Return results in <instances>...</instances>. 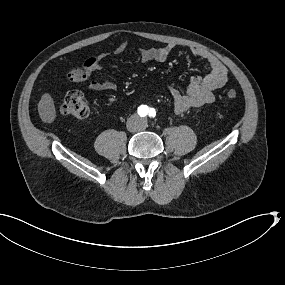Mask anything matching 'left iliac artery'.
Listing matches in <instances>:
<instances>
[{
	"mask_svg": "<svg viewBox=\"0 0 285 285\" xmlns=\"http://www.w3.org/2000/svg\"><path fill=\"white\" fill-rule=\"evenodd\" d=\"M148 115H149L150 117H154V116L156 115L155 109L150 108V110H149V112H148Z\"/></svg>",
	"mask_w": 285,
	"mask_h": 285,
	"instance_id": "obj_1",
	"label": "left iliac artery"
}]
</instances>
